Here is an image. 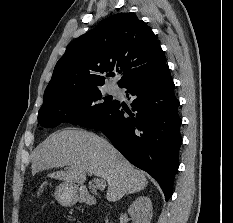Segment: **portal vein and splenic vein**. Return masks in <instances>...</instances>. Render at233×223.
Returning <instances> with one entry per match:
<instances>
[{"label":"portal vein and splenic vein","instance_id":"obj_1","mask_svg":"<svg viewBox=\"0 0 233 223\" xmlns=\"http://www.w3.org/2000/svg\"><path fill=\"white\" fill-rule=\"evenodd\" d=\"M91 181H93V183H95V185H96V187H98V189H104V187L106 185L105 179H101V177H92Z\"/></svg>","mask_w":233,"mask_h":223}]
</instances>
